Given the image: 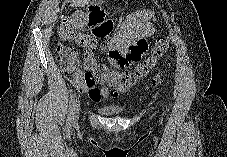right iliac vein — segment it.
Returning a JSON list of instances; mask_svg holds the SVG:
<instances>
[{"mask_svg": "<svg viewBox=\"0 0 227 157\" xmlns=\"http://www.w3.org/2000/svg\"><path fill=\"white\" fill-rule=\"evenodd\" d=\"M78 113H79V105L76 103L74 106V121L78 120Z\"/></svg>", "mask_w": 227, "mask_h": 157, "instance_id": "1", "label": "right iliac vein"}]
</instances>
